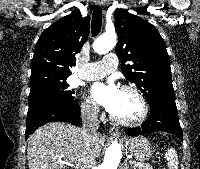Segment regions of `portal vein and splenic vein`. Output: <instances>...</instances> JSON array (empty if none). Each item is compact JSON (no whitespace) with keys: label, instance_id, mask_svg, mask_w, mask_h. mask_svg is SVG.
<instances>
[{"label":"portal vein and splenic vein","instance_id":"1","mask_svg":"<svg viewBox=\"0 0 200 169\" xmlns=\"http://www.w3.org/2000/svg\"><path fill=\"white\" fill-rule=\"evenodd\" d=\"M64 164H68L67 161H62ZM130 163H132V161L130 160Z\"/></svg>","mask_w":200,"mask_h":169}]
</instances>
